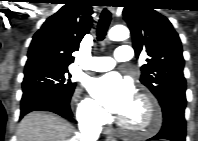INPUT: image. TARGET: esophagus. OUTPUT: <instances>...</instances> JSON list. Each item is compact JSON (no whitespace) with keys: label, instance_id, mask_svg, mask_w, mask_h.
I'll return each mask as SVG.
<instances>
[{"label":"esophagus","instance_id":"esophagus-1","mask_svg":"<svg viewBox=\"0 0 198 141\" xmlns=\"http://www.w3.org/2000/svg\"><path fill=\"white\" fill-rule=\"evenodd\" d=\"M111 13L114 15L115 14V10L113 8H110ZM106 135H107V139L108 140H114V133L111 129H106L105 131Z\"/></svg>","mask_w":198,"mask_h":141}]
</instances>
